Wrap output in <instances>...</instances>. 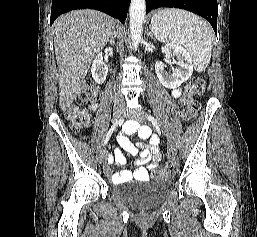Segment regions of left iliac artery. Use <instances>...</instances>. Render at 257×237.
Segmentation results:
<instances>
[{"mask_svg":"<svg viewBox=\"0 0 257 237\" xmlns=\"http://www.w3.org/2000/svg\"><path fill=\"white\" fill-rule=\"evenodd\" d=\"M147 118L149 119V121L152 122V124L155 126V127H159L160 124L159 122L151 115H147Z\"/></svg>","mask_w":257,"mask_h":237,"instance_id":"obj_1","label":"left iliac artery"}]
</instances>
